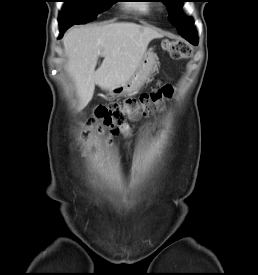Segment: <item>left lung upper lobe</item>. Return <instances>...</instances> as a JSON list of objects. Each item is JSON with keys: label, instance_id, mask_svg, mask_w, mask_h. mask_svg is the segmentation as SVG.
Here are the masks:
<instances>
[{"label": "left lung upper lobe", "instance_id": "1", "mask_svg": "<svg viewBox=\"0 0 258 275\" xmlns=\"http://www.w3.org/2000/svg\"><path fill=\"white\" fill-rule=\"evenodd\" d=\"M170 12V21L176 26L179 34L186 33L188 30L194 28L192 18L183 17L181 14L182 3L184 0H162Z\"/></svg>", "mask_w": 258, "mask_h": 275}]
</instances>
